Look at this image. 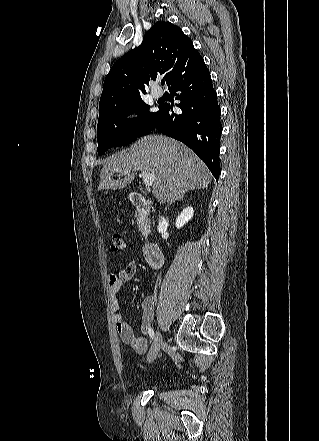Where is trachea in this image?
<instances>
[{"instance_id":"1","label":"trachea","mask_w":319,"mask_h":441,"mask_svg":"<svg viewBox=\"0 0 319 441\" xmlns=\"http://www.w3.org/2000/svg\"><path fill=\"white\" fill-rule=\"evenodd\" d=\"M161 84H162V85H164V84H165V81H164V80H162V81H161Z\"/></svg>"}]
</instances>
